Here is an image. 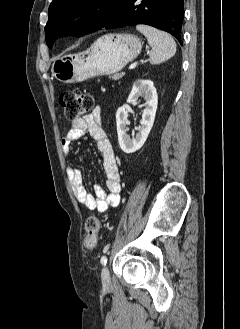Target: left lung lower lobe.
<instances>
[{"label": "left lung lower lobe", "instance_id": "1", "mask_svg": "<svg viewBox=\"0 0 240 329\" xmlns=\"http://www.w3.org/2000/svg\"><path fill=\"white\" fill-rule=\"evenodd\" d=\"M184 0H125L103 27L113 29L146 24L172 34L181 44ZM140 2V3H139Z\"/></svg>", "mask_w": 240, "mask_h": 329}]
</instances>
